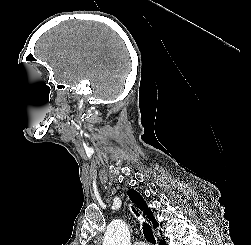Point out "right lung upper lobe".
I'll return each mask as SVG.
<instances>
[{
    "label": "right lung upper lobe",
    "instance_id": "obj_1",
    "mask_svg": "<svg viewBox=\"0 0 251 245\" xmlns=\"http://www.w3.org/2000/svg\"><path fill=\"white\" fill-rule=\"evenodd\" d=\"M128 196L130 197L131 201L134 203L135 206H137L144 215H146V218L151 222L154 228L158 227V224L153 216L152 211L148 208L146 202L141 197L140 194H138L135 190L131 189L128 191Z\"/></svg>",
    "mask_w": 251,
    "mask_h": 245
}]
</instances>
